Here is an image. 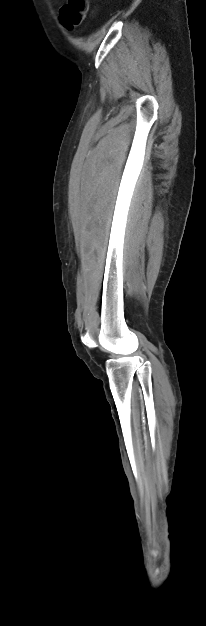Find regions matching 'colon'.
I'll list each match as a JSON object with an SVG mask.
<instances>
[{"mask_svg":"<svg viewBox=\"0 0 206 626\" xmlns=\"http://www.w3.org/2000/svg\"><path fill=\"white\" fill-rule=\"evenodd\" d=\"M88 8L89 0H68L60 10L63 22L69 27L81 24L86 17Z\"/></svg>","mask_w":206,"mask_h":626,"instance_id":"obj_1","label":"colon"}]
</instances>
